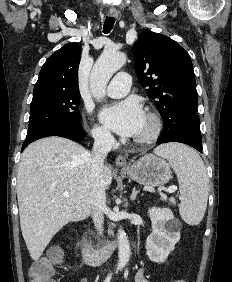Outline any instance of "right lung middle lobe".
Here are the masks:
<instances>
[{
  "mask_svg": "<svg viewBox=\"0 0 232 282\" xmlns=\"http://www.w3.org/2000/svg\"><path fill=\"white\" fill-rule=\"evenodd\" d=\"M79 103V92H34L27 135L54 124H69L81 128Z\"/></svg>",
  "mask_w": 232,
  "mask_h": 282,
  "instance_id": "1",
  "label": "right lung middle lobe"
}]
</instances>
